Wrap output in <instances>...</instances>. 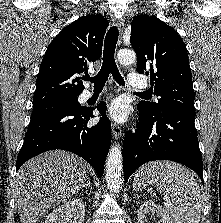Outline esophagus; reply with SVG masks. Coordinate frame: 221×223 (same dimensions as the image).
<instances>
[{"label": "esophagus", "mask_w": 221, "mask_h": 223, "mask_svg": "<svg viewBox=\"0 0 221 223\" xmlns=\"http://www.w3.org/2000/svg\"><path fill=\"white\" fill-rule=\"evenodd\" d=\"M113 21H114V24L118 28V31H119L118 44L121 45V43H122V33H123V30H124L125 20L122 17H115L113 19ZM112 133H113V136L115 137V139H120L122 137V129L116 122L112 123Z\"/></svg>", "instance_id": "1"}]
</instances>
